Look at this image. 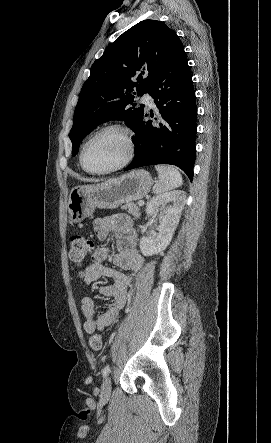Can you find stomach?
<instances>
[{"label":"stomach","mask_w":271,"mask_h":443,"mask_svg":"<svg viewBox=\"0 0 271 443\" xmlns=\"http://www.w3.org/2000/svg\"><path fill=\"white\" fill-rule=\"evenodd\" d=\"M153 180L146 170H133L120 178H113L95 186H75L67 202L71 223H80L92 216L96 208L114 210L125 202H134L147 196Z\"/></svg>","instance_id":"0dacf381"}]
</instances>
